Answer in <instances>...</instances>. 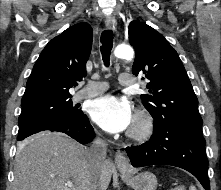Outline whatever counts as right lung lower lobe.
Masks as SVG:
<instances>
[{
	"label": "right lung lower lobe",
	"mask_w": 221,
	"mask_h": 190,
	"mask_svg": "<svg viewBox=\"0 0 221 190\" xmlns=\"http://www.w3.org/2000/svg\"><path fill=\"white\" fill-rule=\"evenodd\" d=\"M45 131L66 133L67 135L82 144L88 143L94 138L93 127L90 125L87 116L85 114H82V116L78 120H75L72 123L43 126L25 134L18 135L17 140L21 141L33 134Z\"/></svg>",
	"instance_id": "obj_1"
}]
</instances>
